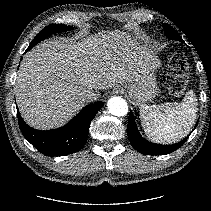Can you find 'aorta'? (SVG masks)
<instances>
[{"label":"aorta","instance_id":"aorta-1","mask_svg":"<svg viewBox=\"0 0 211 211\" xmlns=\"http://www.w3.org/2000/svg\"><path fill=\"white\" fill-rule=\"evenodd\" d=\"M109 112L115 116H125L128 113V105L125 99L119 96L112 97L107 102Z\"/></svg>","mask_w":211,"mask_h":211}]
</instances>
